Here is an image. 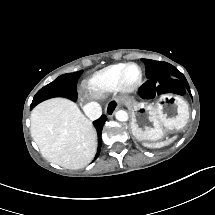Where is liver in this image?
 I'll return each mask as SVG.
<instances>
[{
    "label": "liver",
    "instance_id": "1",
    "mask_svg": "<svg viewBox=\"0 0 215 215\" xmlns=\"http://www.w3.org/2000/svg\"><path fill=\"white\" fill-rule=\"evenodd\" d=\"M31 136L43 157L67 169H80L94 158L97 136L77 104L52 98L31 112Z\"/></svg>",
    "mask_w": 215,
    "mask_h": 215
}]
</instances>
